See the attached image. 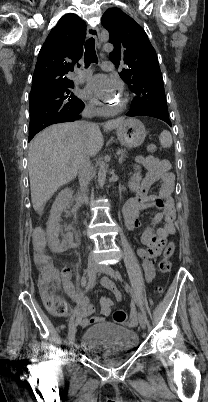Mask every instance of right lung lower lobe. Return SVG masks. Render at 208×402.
Masks as SVG:
<instances>
[{
    "instance_id": "obj_1",
    "label": "right lung lower lobe",
    "mask_w": 208,
    "mask_h": 402,
    "mask_svg": "<svg viewBox=\"0 0 208 402\" xmlns=\"http://www.w3.org/2000/svg\"><path fill=\"white\" fill-rule=\"evenodd\" d=\"M83 108L84 104L82 102L78 109L71 112H58L55 114H45L43 116L32 118L30 122V133L28 141H30L39 131L49 125L61 122H72L79 119V114Z\"/></svg>"
}]
</instances>
